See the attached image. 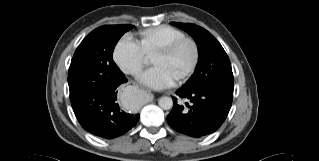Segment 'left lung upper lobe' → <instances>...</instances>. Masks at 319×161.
I'll list each match as a JSON object with an SVG mask.
<instances>
[{
	"label": "left lung upper lobe",
	"instance_id": "1",
	"mask_svg": "<svg viewBox=\"0 0 319 161\" xmlns=\"http://www.w3.org/2000/svg\"><path fill=\"white\" fill-rule=\"evenodd\" d=\"M190 34L197 43L199 61L195 72L182 88H197L233 99L234 78L231 63L218 40L204 28L190 23L172 22Z\"/></svg>",
	"mask_w": 319,
	"mask_h": 161
}]
</instances>
